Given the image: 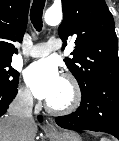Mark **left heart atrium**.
<instances>
[{
	"label": "left heart atrium",
	"mask_w": 119,
	"mask_h": 141,
	"mask_svg": "<svg viewBox=\"0 0 119 141\" xmlns=\"http://www.w3.org/2000/svg\"><path fill=\"white\" fill-rule=\"evenodd\" d=\"M25 77L34 95L47 101L55 94L62 80L58 65L52 59L33 63L26 70Z\"/></svg>",
	"instance_id": "39dd6f15"
}]
</instances>
